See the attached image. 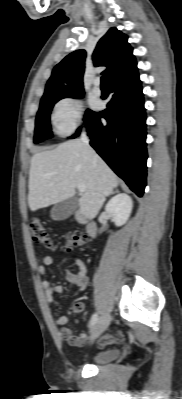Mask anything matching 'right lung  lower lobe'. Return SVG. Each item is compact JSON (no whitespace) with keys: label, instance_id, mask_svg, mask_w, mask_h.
Masks as SVG:
<instances>
[{"label":"right lung lower lobe","instance_id":"98d812e1","mask_svg":"<svg viewBox=\"0 0 182 399\" xmlns=\"http://www.w3.org/2000/svg\"><path fill=\"white\" fill-rule=\"evenodd\" d=\"M110 92L113 97L107 109L92 112L85 122L90 145L141 197L146 186L147 150L146 115L138 72L111 83ZM101 117L106 119V125Z\"/></svg>","mask_w":182,"mask_h":399}]
</instances>
